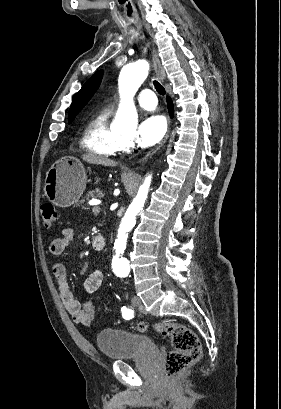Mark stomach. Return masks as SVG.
I'll return each instance as SVG.
<instances>
[{"mask_svg": "<svg viewBox=\"0 0 281 409\" xmlns=\"http://www.w3.org/2000/svg\"><path fill=\"white\" fill-rule=\"evenodd\" d=\"M86 178L84 164L79 158L62 156L47 170L44 192L55 207H71L83 194Z\"/></svg>", "mask_w": 281, "mask_h": 409, "instance_id": "stomach-1", "label": "stomach"}]
</instances>
